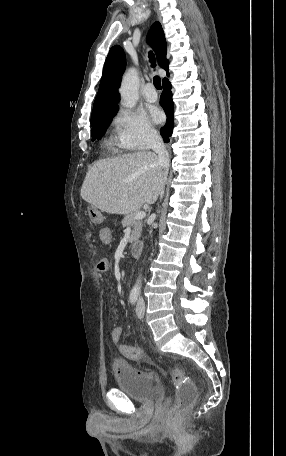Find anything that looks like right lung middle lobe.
<instances>
[{
	"label": "right lung middle lobe",
	"mask_w": 286,
	"mask_h": 456,
	"mask_svg": "<svg viewBox=\"0 0 286 456\" xmlns=\"http://www.w3.org/2000/svg\"><path fill=\"white\" fill-rule=\"evenodd\" d=\"M118 109L107 112L106 114L98 117L91 122L92 125V141L99 140L107 130L113 117L116 115Z\"/></svg>",
	"instance_id": "obj_1"
}]
</instances>
